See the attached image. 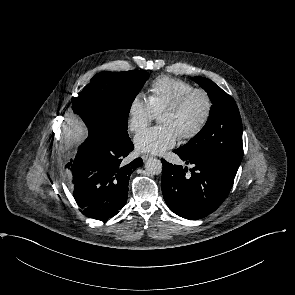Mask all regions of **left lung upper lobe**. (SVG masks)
I'll return each instance as SVG.
<instances>
[{
	"mask_svg": "<svg viewBox=\"0 0 295 295\" xmlns=\"http://www.w3.org/2000/svg\"><path fill=\"white\" fill-rule=\"evenodd\" d=\"M194 81L205 89L213 105L203 129L177 150L186 157L220 158L238 168L243 157L242 121L235 101L207 78L196 76Z\"/></svg>",
	"mask_w": 295,
	"mask_h": 295,
	"instance_id": "obj_1",
	"label": "left lung upper lobe"
}]
</instances>
